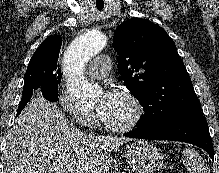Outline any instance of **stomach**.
I'll list each match as a JSON object with an SVG mask.
<instances>
[{
    "instance_id": "stomach-1",
    "label": "stomach",
    "mask_w": 219,
    "mask_h": 173,
    "mask_svg": "<svg viewBox=\"0 0 219 173\" xmlns=\"http://www.w3.org/2000/svg\"><path fill=\"white\" fill-rule=\"evenodd\" d=\"M127 163L134 173H156L163 165V154L146 141L132 143L126 154Z\"/></svg>"
}]
</instances>
